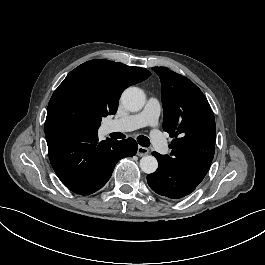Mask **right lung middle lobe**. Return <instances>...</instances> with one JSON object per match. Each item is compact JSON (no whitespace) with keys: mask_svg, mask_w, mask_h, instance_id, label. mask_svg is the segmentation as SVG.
Here are the masks:
<instances>
[{"mask_svg":"<svg viewBox=\"0 0 265 265\" xmlns=\"http://www.w3.org/2000/svg\"><path fill=\"white\" fill-rule=\"evenodd\" d=\"M116 111L117 107L94 76L87 73L67 75L49 101L45 125L97 132L102 117Z\"/></svg>","mask_w":265,"mask_h":265,"instance_id":"dd1d6c3e","label":"right lung middle lobe"}]
</instances>
